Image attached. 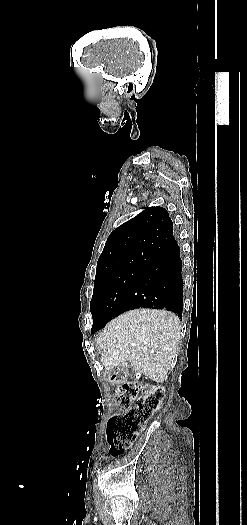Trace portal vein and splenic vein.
Instances as JSON below:
<instances>
[{"label": "portal vein and splenic vein", "mask_w": 247, "mask_h": 525, "mask_svg": "<svg viewBox=\"0 0 247 525\" xmlns=\"http://www.w3.org/2000/svg\"><path fill=\"white\" fill-rule=\"evenodd\" d=\"M132 346H135V343H132Z\"/></svg>", "instance_id": "1"}]
</instances>
